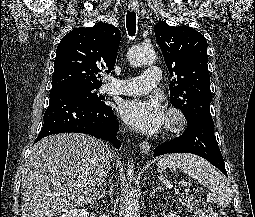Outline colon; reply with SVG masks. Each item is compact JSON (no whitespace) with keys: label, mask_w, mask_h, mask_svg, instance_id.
Listing matches in <instances>:
<instances>
[{"label":"colon","mask_w":255,"mask_h":217,"mask_svg":"<svg viewBox=\"0 0 255 217\" xmlns=\"http://www.w3.org/2000/svg\"><path fill=\"white\" fill-rule=\"evenodd\" d=\"M183 201L195 217H221L200 197L185 196Z\"/></svg>","instance_id":"colon-1"}]
</instances>
